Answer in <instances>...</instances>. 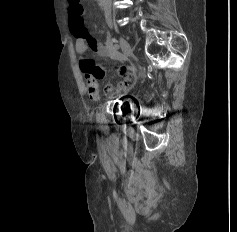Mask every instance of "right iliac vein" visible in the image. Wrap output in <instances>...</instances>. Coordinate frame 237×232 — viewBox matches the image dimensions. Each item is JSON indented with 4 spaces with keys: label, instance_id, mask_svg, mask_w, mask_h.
<instances>
[{
    "label": "right iliac vein",
    "instance_id": "right-iliac-vein-1",
    "mask_svg": "<svg viewBox=\"0 0 237 232\" xmlns=\"http://www.w3.org/2000/svg\"><path fill=\"white\" fill-rule=\"evenodd\" d=\"M120 45H121L124 58H128L132 53L130 44L124 38L121 37Z\"/></svg>",
    "mask_w": 237,
    "mask_h": 232
}]
</instances>
